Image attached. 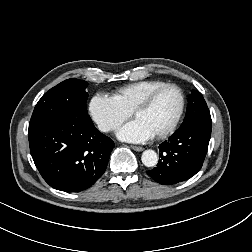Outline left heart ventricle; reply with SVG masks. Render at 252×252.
Returning <instances> with one entry per match:
<instances>
[{
    "label": "left heart ventricle",
    "instance_id": "b2bd125f",
    "mask_svg": "<svg viewBox=\"0 0 252 252\" xmlns=\"http://www.w3.org/2000/svg\"><path fill=\"white\" fill-rule=\"evenodd\" d=\"M179 104L178 92L171 88L165 89L155 97L148 108L137 112L134 118L141 120L156 135L171 125Z\"/></svg>",
    "mask_w": 252,
    "mask_h": 252
}]
</instances>
